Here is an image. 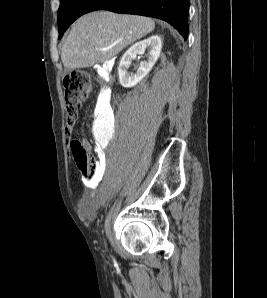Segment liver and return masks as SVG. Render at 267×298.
<instances>
[{
    "instance_id": "6515ba94",
    "label": "liver",
    "mask_w": 267,
    "mask_h": 298,
    "mask_svg": "<svg viewBox=\"0 0 267 298\" xmlns=\"http://www.w3.org/2000/svg\"><path fill=\"white\" fill-rule=\"evenodd\" d=\"M155 28L143 16L95 11L80 17L63 44L61 60L65 68H87L110 60Z\"/></svg>"
}]
</instances>
